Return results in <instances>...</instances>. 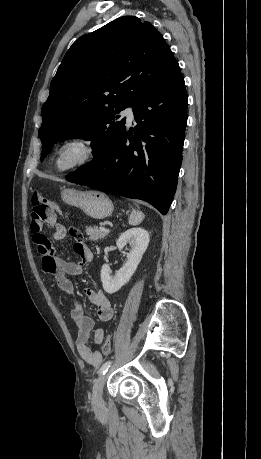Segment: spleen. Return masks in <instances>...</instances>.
<instances>
[{"label":"spleen","mask_w":261,"mask_h":459,"mask_svg":"<svg viewBox=\"0 0 261 459\" xmlns=\"http://www.w3.org/2000/svg\"><path fill=\"white\" fill-rule=\"evenodd\" d=\"M143 219L144 214L141 211L132 209V212L128 219V223L132 226H136L139 225L143 221Z\"/></svg>","instance_id":"spleen-1"}]
</instances>
